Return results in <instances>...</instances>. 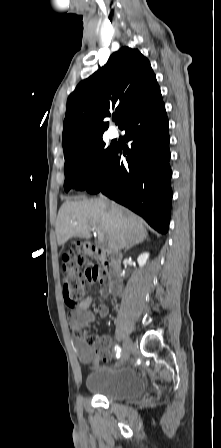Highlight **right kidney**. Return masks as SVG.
Returning a JSON list of instances; mask_svg holds the SVG:
<instances>
[{"label": "right kidney", "mask_w": 221, "mask_h": 448, "mask_svg": "<svg viewBox=\"0 0 221 448\" xmlns=\"http://www.w3.org/2000/svg\"><path fill=\"white\" fill-rule=\"evenodd\" d=\"M148 258H149V253H147V252L139 255V257L137 259L139 266L143 267L146 264Z\"/></svg>", "instance_id": "obj_1"}]
</instances>
